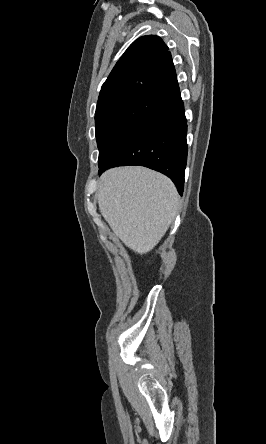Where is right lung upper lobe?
<instances>
[{"instance_id": "right-lung-upper-lobe-1", "label": "right lung upper lobe", "mask_w": 266, "mask_h": 444, "mask_svg": "<svg viewBox=\"0 0 266 444\" xmlns=\"http://www.w3.org/2000/svg\"><path fill=\"white\" fill-rule=\"evenodd\" d=\"M137 92L165 104L180 96L171 53L158 36L140 37L128 47L102 85L97 105Z\"/></svg>"}]
</instances>
